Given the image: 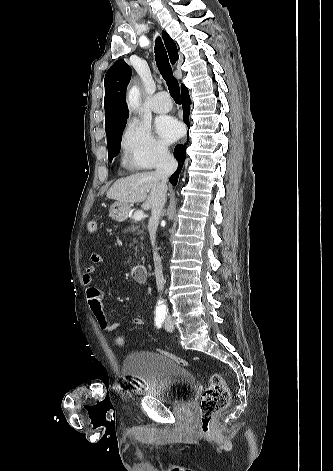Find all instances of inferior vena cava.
Returning <instances> with one entry per match:
<instances>
[{
  "mask_svg": "<svg viewBox=\"0 0 333 471\" xmlns=\"http://www.w3.org/2000/svg\"><path fill=\"white\" fill-rule=\"evenodd\" d=\"M177 161L167 150H161L159 153L158 163L156 166V176L160 179L161 193L159 198L152 206V214L148 224V230L153 247V260L155 267L156 285L158 291H162L164 288V277L162 273L161 258L158 255L157 248L155 247L156 231L158 228L159 220L162 214L163 207L166 202L168 178L176 171Z\"/></svg>",
  "mask_w": 333,
  "mask_h": 471,
  "instance_id": "obj_1",
  "label": "inferior vena cava"
}]
</instances>
